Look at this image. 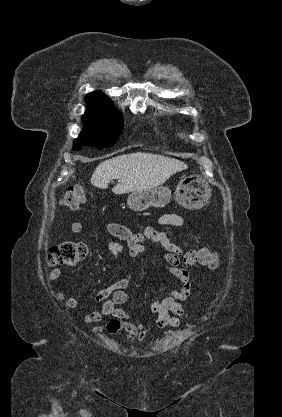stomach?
<instances>
[{
    "label": "stomach",
    "mask_w": 282,
    "mask_h": 417,
    "mask_svg": "<svg viewBox=\"0 0 282 417\" xmlns=\"http://www.w3.org/2000/svg\"><path fill=\"white\" fill-rule=\"evenodd\" d=\"M211 188L203 176L192 174L191 178H182L177 184L175 198L184 209L197 211L207 204ZM171 190L169 186H155L147 190H134L127 198V204L132 211H146L149 206H165L170 202Z\"/></svg>",
    "instance_id": "stomach-1"
}]
</instances>
